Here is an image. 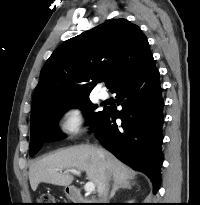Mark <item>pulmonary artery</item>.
<instances>
[{
	"instance_id": "obj_1",
	"label": "pulmonary artery",
	"mask_w": 200,
	"mask_h": 205,
	"mask_svg": "<svg viewBox=\"0 0 200 205\" xmlns=\"http://www.w3.org/2000/svg\"><path fill=\"white\" fill-rule=\"evenodd\" d=\"M99 97L102 99V100H106L108 97H109V94L108 92L105 90V89H101L99 91Z\"/></svg>"
}]
</instances>
